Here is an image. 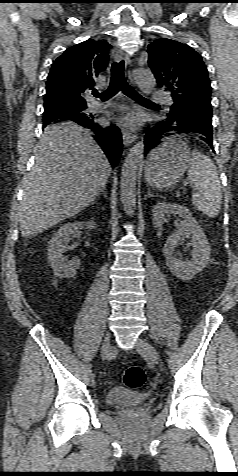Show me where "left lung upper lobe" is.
<instances>
[{"mask_svg":"<svg viewBox=\"0 0 238 476\" xmlns=\"http://www.w3.org/2000/svg\"><path fill=\"white\" fill-rule=\"evenodd\" d=\"M148 64L159 87L172 93L171 111L212 116L211 86L201 56L186 44L158 39L148 46Z\"/></svg>","mask_w":238,"mask_h":476,"instance_id":"1","label":"left lung upper lobe"}]
</instances>
